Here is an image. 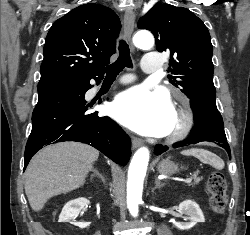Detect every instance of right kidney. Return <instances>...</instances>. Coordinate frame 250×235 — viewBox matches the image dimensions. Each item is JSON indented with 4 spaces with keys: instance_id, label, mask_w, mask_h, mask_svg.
I'll return each instance as SVG.
<instances>
[{
    "instance_id": "obj_1",
    "label": "right kidney",
    "mask_w": 250,
    "mask_h": 235,
    "mask_svg": "<svg viewBox=\"0 0 250 235\" xmlns=\"http://www.w3.org/2000/svg\"><path fill=\"white\" fill-rule=\"evenodd\" d=\"M89 204L90 201L86 198H78L67 202L59 216V222H69L80 228L87 227V223L76 222L75 219L79 216L81 210L87 207Z\"/></svg>"
}]
</instances>
